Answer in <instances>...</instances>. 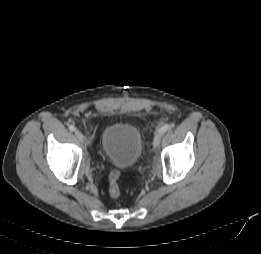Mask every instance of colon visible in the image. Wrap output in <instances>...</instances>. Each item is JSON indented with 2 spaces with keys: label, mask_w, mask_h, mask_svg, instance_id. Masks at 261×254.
Returning a JSON list of instances; mask_svg holds the SVG:
<instances>
[{
  "label": "colon",
  "mask_w": 261,
  "mask_h": 254,
  "mask_svg": "<svg viewBox=\"0 0 261 254\" xmlns=\"http://www.w3.org/2000/svg\"><path fill=\"white\" fill-rule=\"evenodd\" d=\"M120 172L118 170H113L109 174V186L108 193L112 198H118L120 196V186H119Z\"/></svg>",
  "instance_id": "obj_1"
}]
</instances>
